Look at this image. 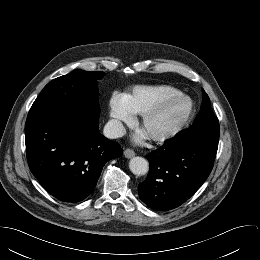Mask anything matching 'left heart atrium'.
Here are the masks:
<instances>
[{
  "label": "left heart atrium",
  "instance_id": "1",
  "mask_svg": "<svg viewBox=\"0 0 260 260\" xmlns=\"http://www.w3.org/2000/svg\"><path fill=\"white\" fill-rule=\"evenodd\" d=\"M141 138H143V137H141V136H138V137H136V140H139V139H141Z\"/></svg>",
  "mask_w": 260,
  "mask_h": 260
}]
</instances>
